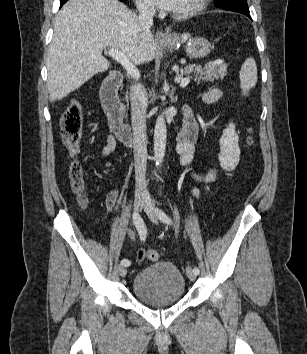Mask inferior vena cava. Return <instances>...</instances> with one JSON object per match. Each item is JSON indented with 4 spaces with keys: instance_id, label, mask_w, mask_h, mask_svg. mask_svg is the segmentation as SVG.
I'll return each mask as SVG.
<instances>
[{
    "instance_id": "602c4592",
    "label": "inferior vena cava",
    "mask_w": 307,
    "mask_h": 354,
    "mask_svg": "<svg viewBox=\"0 0 307 354\" xmlns=\"http://www.w3.org/2000/svg\"><path fill=\"white\" fill-rule=\"evenodd\" d=\"M139 23L143 30H149L153 25L155 9L148 4L137 5ZM131 120L133 130V152L136 175V193H148L145 181L147 164V136H146V90L141 84H132L130 87Z\"/></svg>"
}]
</instances>
